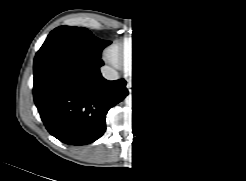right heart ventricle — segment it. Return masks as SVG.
<instances>
[{
    "label": "right heart ventricle",
    "mask_w": 246,
    "mask_h": 181,
    "mask_svg": "<svg viewBox=\"0 0 246 181\" xmlns=\"http://www.w3.org/2000/svg\"><path fill=\"white\" fill-rule=\"evenodd\" d=\"M156 46L153 41H144L128 45L127 47L117 51V55L126 63L134 64L145 55L150 53Z\"/></svg>",
    "instance_id": "right-heart-ventricle-1"
}]
</instances>
